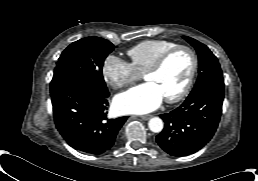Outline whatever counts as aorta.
Listing matches in <instances>:
<instances>
[{"instance_id": "1", "label": "aorta", "mask_w": 258, "mask_h": 181, "mask_svg": "<svg viewBox=\"0 0 258 181\" xmlns=\"http://www.w3.org/2000/svg\"><path fill=\"white\" fill-rule=\"evenodd\" d=\"M148 127L152 132H161L163 129V121L159 117H153L149 120Z\"/></svg>"}]
</instances>
